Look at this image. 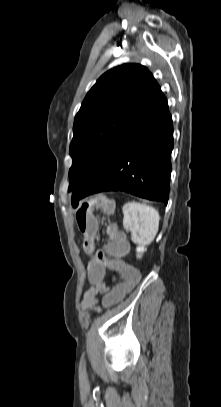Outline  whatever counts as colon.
<instances>
[{"label":"colon","mask_w":221,"mask_h":407,"mask_svg":"<svg viewBox=\"0 0 221 407\" xmlns=\"http://www.w3.org/2000/svg\"><path fill=\"white\" fill-rule=\"evenodd\" d=\"M102 209L106 214H112L115 206L112 200L105 196H96L85 201L76 211V221L79 230L83 235L84 252L90 256L87 260L88 284L90 286H103L105 277H107V268L118 269L119 277L124 282H117L115 286L108 289L105 295H102L101 306L104 312H109L110 308H115L117 304L125 301L126 295L131 294V290L140 281V271L136 265H130L128 261L121 263L118 257L125 254L128 250V243L122 232L115 225L110 224L106 227V234L109 237V244L106 246V253L113 260H108L104 251H96L95 239L98 231V223L93 214L94 209Z\"/></svg>","instance_id":"5ec220e1"}]
</instances>
